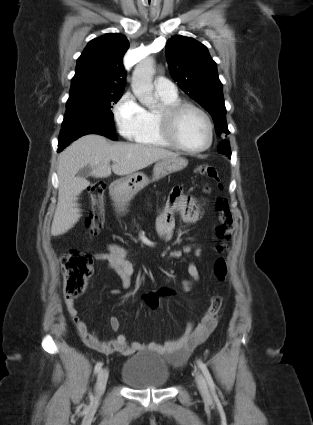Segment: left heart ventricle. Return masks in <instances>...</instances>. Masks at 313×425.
Listing matches in <instances>:
<instances>
[{
	"label": "left heart ventricle",
	"instance_id": "obj_1",
	"mask_svg": "<svg viewBox=\"0 0 313 425\" xmlns=\"http://www.w3.org/2000/svg\"><path fill=\"white\" fill-rule=\"evenodd\" d=\"M177 134L180 141L188 148H200L208 140L207 124L197 112H187L180 119Z\"/></svg>",
	"mask_w": 313,
	"mask_h": 425
}]
</instances>
